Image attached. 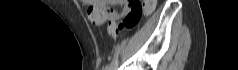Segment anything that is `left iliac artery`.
<instances>
[{
  "mask_svg": "<svg viewBox=\"0 0 238 70\" xmlns=\"http://www.w3.org/2000/svg\"><path fill=\"white\" fill-rule=\"evenodd\" d=\"M105 70H110V66H109V65L106 66V67H105Z\"/></svg>",
  "mask_w": 238,
  "mask_h": 70,
  "instance_id": "obj_1",
  "label": "left iliac artery"
}]
</instances>
